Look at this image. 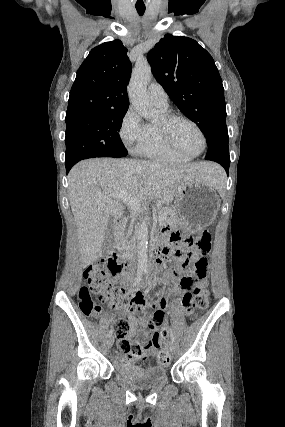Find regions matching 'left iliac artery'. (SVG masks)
I'll use <instances>...</instances> for the list:
<instances>
[{
	"instance_id": "1",
	"label": "left iliac artery",
	"mask_w": 285,
	"mask_h": 427,
	"mask_svg": "<svg viewBox=\"0 0 285 427\" xmlns=\"http://www.w3.org/2000/svg\"><path fill=\"white\" fill-rule=\"evenodd\" d=\"M170 338L173 342H175V337H174V333L172 331V329L170 328Z\"/></svg>"
}]
</instances>
